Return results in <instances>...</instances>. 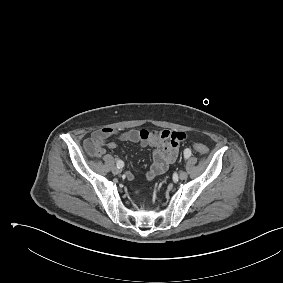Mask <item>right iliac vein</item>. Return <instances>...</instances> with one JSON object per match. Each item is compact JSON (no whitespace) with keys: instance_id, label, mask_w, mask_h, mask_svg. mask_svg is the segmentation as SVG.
Returning a JSON list of instances; mask_svg holds the SVG:
<instances>
[{"instance_id":"right-iliac-vein-1","label":"right iliac vein","mask_w":283,"mask_h":283,"mask_svg":"<svg viewBox=\"0 0 283 283\" xmlns=\"http://www.w3.org/2000/svg\"><path fill=\"white\" fill-rule=\"evenodd\" d=\"M120 172H121L120 168H118V167H113V168H112V173H113V174L117 175V174H119Z\"/></svg>"}]
</instances>
